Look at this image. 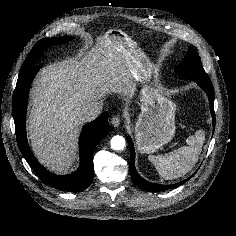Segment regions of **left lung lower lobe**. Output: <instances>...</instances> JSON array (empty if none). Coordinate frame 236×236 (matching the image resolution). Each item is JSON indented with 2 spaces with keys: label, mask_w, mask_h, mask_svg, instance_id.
<instances>
[{
  "label": "left lung lower lobe",
  "mask_w": 236,
  "mask_h": 236,
  "mask_svg": "<svg viewBox=\"0 0 236 236\" xmlns=\"http://www.w3.org/2000/svg\"><path fill=\"white\" fill-rule=\"evenodd\" d=\"M194 81L197 82V84L207 93V95L209 97V105H210L211 115L213 117L212 123H213V129H214V127H215L214 89H213L212 82L209 78L208 79H197ZM128 145H129L130 154H131L130 172L132 175V180L142 190H145L148 192H153V191H160V190L175 188L179 185L184 184L186 181H188L194 175L193 174L188 179H186L180 183L173 184V185H161V184H155V183L148 182V181L144 180L136 171L135 163H134L135 162V150H134V146H133V143H132V140L130 137H128Z\"/></svg>",
  "instance_id": "0a47b994"
}]
</instances>
